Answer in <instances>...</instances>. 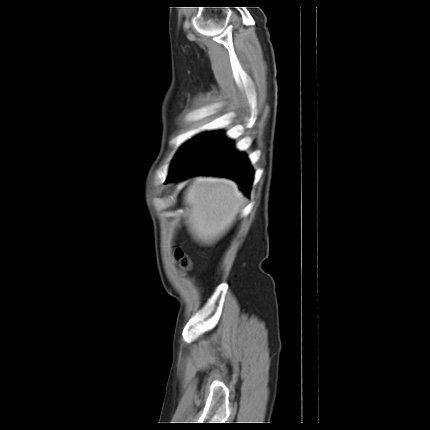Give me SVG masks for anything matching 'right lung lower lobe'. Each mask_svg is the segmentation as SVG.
I'll use <instances>...</instances> for the list:
<instances>
[{
  "label": "right lung lower lobe",
  "instance_id": "1",
  "mask_svg": "<svg viewBox=\"0 0 430 430\" xmlns=\"http://www.w3.org/2000/svg\"><path fill=\"white\" fill-rule=\"evenodd\" d=\"M195 174L231 178L237 181L245 193H249L253 178V171L246 156L235 151L232 142L225 139L217 142L189 165L170 174L167 181L180 177L188 178Z\"/></svg>",
  "mask_w": 430,
  "mask_h": 430
}]
</instances>
